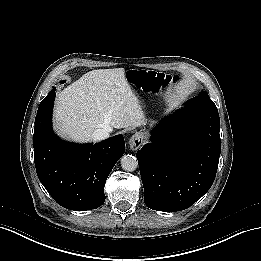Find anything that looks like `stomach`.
<instances>
[{
  "instance_id": "0dacf381",
  "label": "stomach",
  "mask_w": 261,
  "mask_h": 261,
  "mask_svg": "<svg viewBox=\"0 0 261 261\" xmlns=\"http://www.w3.org/2000/svg\"><path fill=\"white\" fill-rule=\"evenodd\" d=\"M142 137H143L144 139H147V138L149 137L148 132H147V131L143 132V133H142Z\"/></svg>"
}]
</instances>
